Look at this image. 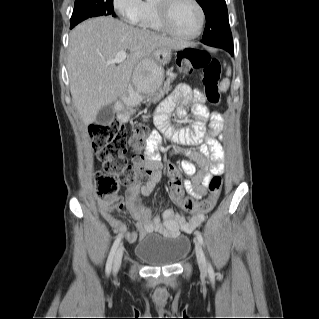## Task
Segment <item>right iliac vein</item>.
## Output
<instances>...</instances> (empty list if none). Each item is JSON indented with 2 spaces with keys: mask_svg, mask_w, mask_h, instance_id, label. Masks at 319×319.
Segmentation results:
<instances>
[{
  "mask_svg": "<svg viewBox=\"0 0 319 319\" xmlns=\"http://www.w3.org/2000/svg\"><path fill=\"white\" fill-rule=\"evenodd\" d=\"M124 253V247L120 246L115 254L114 261H113V273H117L122 262V257Z\"/></svg>",
  "mask_w": 319,
  "mask_h": 319,
  "instance_id": "63e3f726",
  "label": "right iliac vein"
}]
</instances>
